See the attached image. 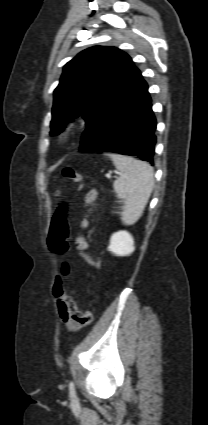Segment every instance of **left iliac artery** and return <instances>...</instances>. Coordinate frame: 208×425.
<instances>
[{
    "label": "left iliac artery",
    "instance_id": "left-iliac-artery-1",
    "mask_svg": "<svg viewBox=\"0 0 208 425\" xmlns=\"http://www.w3.org/2000/svg\"><path fill=\"white\" fill-rule=\"evenodd\" d=\"M70 395L76 397L75 386L72 381L69 382Z\"/></svg>",
    "mask_w": 208,
    "mask_h": 425
}]
</instances>
